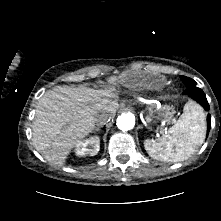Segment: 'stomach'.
<instances>
[{
    "label": "stomach",
    "mask_w": 221,
    "mask_h": 221,
    "mask_svg": "<svg viewBox=\"0 0 221 221\" xmlns=\"http://www.w3.org/2000/svg\"><path fill=\"white\" fill-rule=\"evenodd\" d=\"M118 79L131 91H162L167 86L165 76L151 72L124 70L120 72Z\"/></svg>",
    "instance_id": "stomach-1"
}]
</instances>
